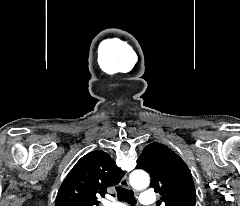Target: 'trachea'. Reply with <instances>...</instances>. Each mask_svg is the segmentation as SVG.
Segmentation results:
<instances>
[{"label":"trachea","instance_id":"3493384b","mask_svg":"<svg viewBox=\"0 0 240 206\" xmlns=\"http://www.w3.org/2000/svg\"><path fill=\"white\" fill-rule=\"evenodd\" d=\"M118 200H125L131 204L136 203L134 193L131 190H128L123 187H116Z\"/></svg>","mask_w":240,"mask_h":206}]
</instances>
